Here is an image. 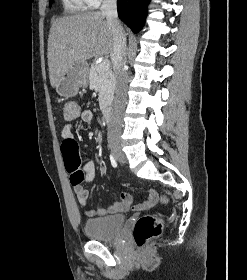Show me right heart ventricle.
Listing matches in <instances>:
<instances>
[{
	"instance_id": "right-heart-ventricle-1",
	"label": "right heart ventricle",
	"mask_w": 247,
	"mask_h": 280,
	"mask_svg": "<svg viewBox=\"0 0 247 280\" xmlns=\"http://www.w3.org/2000/svg\"><path fill=\"white\" fill-rule=\"evenodd\" d=\"M63 6L67 13H77L87 9L86 0H63Z\"/></svg>"
}]
</instances>
